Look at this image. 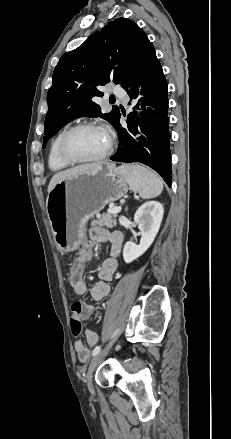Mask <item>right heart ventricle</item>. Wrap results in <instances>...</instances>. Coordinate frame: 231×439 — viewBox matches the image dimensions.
<instances>
[{
	"label": "right heart ventricle",
	"instance_id": "right-heart-ventricle-1",
	"mask_svg": "<svg viewBox=\"0 0 231 439\" xmlns=\"http://www.w3.org/2000/svg\"><path fill=\"white\" fill-rule=\"evenodd\" d=\"M65 130L59 132L54 139L52 140L49 150H48V166L52 171H61L70 166L67 162H65L59 155L58 152V144L62 134Z\"/></svg>",
	"mask_w": 231,
	"mask_h": 439
}]
</instances>
